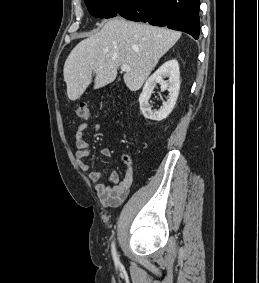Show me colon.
I'll return each instance as SVG.
<instances>
[{"instance_id":"5ec220e1","label":"colon","mask_w":259,"mask_h":283,"mask_svg":"<svg viewBox=\"0 0 259 283\" xmlns=\"http://www.w3.org/2000/svg\"><path fill=\"white\" fill-rule=\"evenodd\" d=\"M76 115L79 119L88 120L90 118L89 105L85 102L80 103L77 107ZM125 160H129L128 156H125Z\"/></svg>"}]
</instances>
